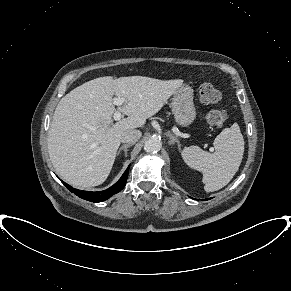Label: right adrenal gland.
<instances>
[{"label": "right adrenal gland", "instance_id": "right-adrenal-gland-1", "mask_svg": "<svg viewBox=\"0 0 291 291\" xmlns=\"http://www.w3.org/2000/svg\"><path fill=\"white\" fill-rule=\"evenodd\" d=\"M130 146H132V144H124V145H122V146L119 148V150H118V152H117V155H119V153L121 152V150H124L125 157H127L128 148H129Z\"/></svg>", "mask_w": 291, "mask_h": 291}]
</instances>
